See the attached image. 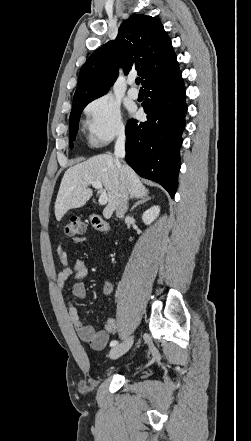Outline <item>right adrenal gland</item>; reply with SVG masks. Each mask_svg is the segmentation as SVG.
Returning a JSON list of instances; mask_svg holds the SVG:
<instances>
[{"instance_id":"2a0ac1e0","label":"right adrenal gland","mask_w":251,"mask_h":441,"mask_svg":"<svg viewBox=\"0 0 251 441\" xmlns=\"http://www.w3.org/2000/svg\"><path fill=\"white\" fill-rule=\"evenodd\" d=\"M151 199V197H144L141 198L140 200H138L137 202H135V204L131 207L130 211H133L134 208H136L137 206L146 203L147 201H149Z\"/></svg>"}]
</instances>
